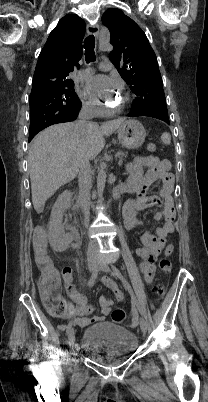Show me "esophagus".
<instances>
[{"label":"esophagus","instance_id":"obj_1","mask_svg":"<svg viewBox=\"0 0 208 402\" xmlns=\"http://www.w3.org/2000/svg\"><path fill=\"white\" fill-rule=\"evenodd\" d=\"M87 33L88 35H95L96 37H98L99 26L96 23L93 25H87Z\"/></svg>","mask_w":208,"mask_h":402}]
</instances>
